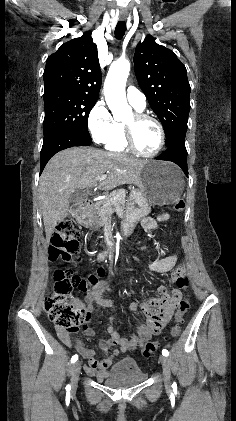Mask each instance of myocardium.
<instances>
[{"label":"myocardium","instance_id":"myocardium-1","mask_svg":"<svg viewBox=\"0 0 236 421\" xmlns=\"http://www.w3.org/2000/svg\"><path fill=\"white\" fill-rule=\"evenodd\" d=\"M133 118L135 120H148V121L152 122L153 124H155V126L158 129V133H159V142H158L157 148L153 152H151V153L141 152L136 147V145L134 143L130 124L128 122H124L123 123V135H124V140H125V143H126L127 147L133 153H135L136 155H138L140 157L151 158V157L157 156L162 151V149L165 145V140H166V135H165V130H164L163 125L160 123V121H158L153 116H150V115L145 114V113L140 112V111H136L133 114Z\"/></svg>","mask_w":236,"mask_h":421}]
</instances>
